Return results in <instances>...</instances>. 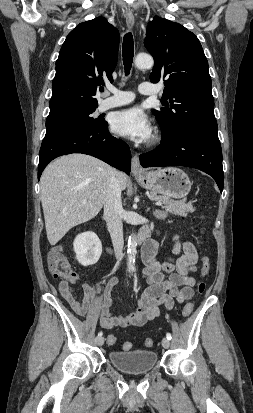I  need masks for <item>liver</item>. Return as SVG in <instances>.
<instances>
[{"label": "liver", "instance_id": "6515ba94", "mask_svg": "<svg viewBox=\"0 0 253 413\" xmlns=\"http://www.w3.org/2000/svg\"><path fill=\"white\" fill-rule=\"evenodd\" d=\"M113 170L105 162L86 154L62 156L45 168L40 179V194L51 245L58 243L71 228L100 212ZM118 179L124 190L127 176L118 172Z\"/></svg>", "mask_w": 253, "mask_h": 413}]
</instances>
